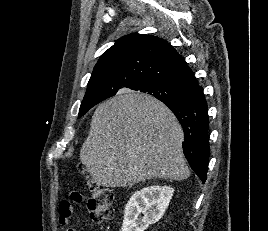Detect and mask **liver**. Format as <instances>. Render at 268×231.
<instances>
[{
    "label": "liver",
    "mask_w": 268,
    "mask_h": 231,
    "mask_svg": "<svg viewBox=\"0 0 268 231\" xmlns=\"http://www.w3.org/2000/svg\"><path fill=\"white\" fill-rule=\"evenodd\" d=\"M183 140V130L165 104L123 90L96 108L80 160L103 187H131L154 178L184 180L190 170Z\"/></svg>",
    "instance_id": "obj_1"
}]
</instances>
